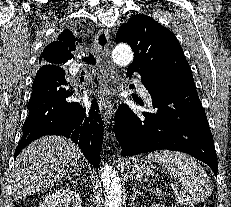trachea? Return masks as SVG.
<instances>
[{
	"instance_id": "trachea-1",
	"label": "trachea",
	"mask_w": 231,
	"mask_h": 207,
	"mask_svg": "<svg viewBox=\"0 0 231 207\" xmlns=\"http://www.w3.org/2000/svg\"><path fill=\"white\" fill-rule=\"evenodd\" d=\"M83 62L87 65H95L96 58L93 55H89L88 57L83 58ZM82 74H84V71H82Z\"/></svg>"
}]
</instances>
